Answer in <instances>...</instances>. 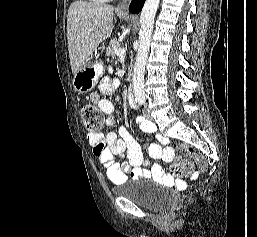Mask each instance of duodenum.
<instances>
[{"label":"duodenum","mask_w":257,"mask_h":237,"mask_svg":"<svg viewBox=\"0 0 257 237\" xmlns=\"http://www.w3.org/2000/svg\"><path fill=\"white\" fill-rule=\"evenodd\" d=\"M128 100H129V103L132 107H134L136 105V101H135V95H134V91L132 88H129L128 89Z\"/></svg>","instance_id":"duodenum-1"}]
</instances>
